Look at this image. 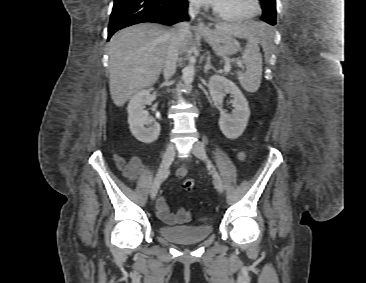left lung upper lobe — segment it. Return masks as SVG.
<instances>
[{"label":"left lung upper lobe","instance_id":"1","mask_svg":"<svg viewBox=\"0 0 366 283\" xmlns=\"http://www.w3.org/2000/svg\"><path fill=\"white\" fill-rule=\"evenodd\" d=\"M263 15L261 19L270 25L276 24V2L275 0H260Z\"/></svg>","mask_w":366,"mask_h":283}]
</instances>
